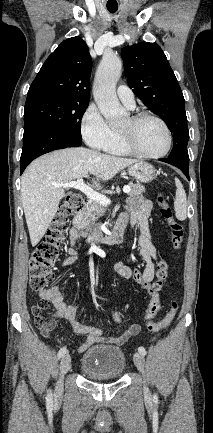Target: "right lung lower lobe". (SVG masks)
Wrapping results in <instances>:
<instances>
[{
  "instance_id": "obj_1",
  "label": "right lung lower lobe",
  "mask_w": 213,
  "mask_h": 433,
  "mask_svg": "<svg viewBox=\"0 0 213 433\" xmlns=\"http://www.w3.org/2000/svg\"><path fill=\"white\" fill-rule=\"evenodd\" d=\"M81 144V140L52 126L39 122H30L24 128L20 173L33 159L45 153L66 147H78Z\"/></svg>"
}]
</instances>
